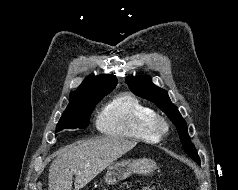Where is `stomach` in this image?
I'll return each mask as SVG.
<instances>
[{"instance_id":"0dacf381","label":"stomach","mask_w":238,"mask_h":190,"mask_svg":"<svg viewBox=\"0 0 238 190\" xmlns=\"http://www.w3.org/2000/svg\"><path fill=\"white\" fill-rule=\"evenodd\" d=\"M156 163L147 158L134 161L121 160L111 164L105 174V182L108 185H115L128 178L131 174H150L156 169Z\"/></svg>"}]
</instances>
